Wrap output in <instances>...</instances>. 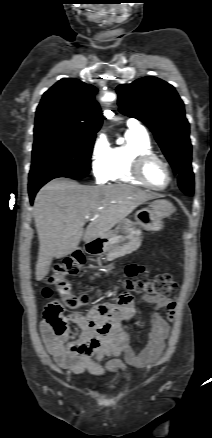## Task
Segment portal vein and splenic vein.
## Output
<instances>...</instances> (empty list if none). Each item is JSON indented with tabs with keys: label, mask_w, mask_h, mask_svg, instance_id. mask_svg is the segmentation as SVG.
<instances>
[{
	"label": "portal vein and splenic vein",
	"mask_w": 212,
	"mask_h": 438,
	"mask_svg": "<svg viewBox=\"0 0 212 438\" xmlns=\"http://www.w3.org/2000/svg\"><path fill=\"white\" fill-rule=\"evenodd\" d=\"M97 216L95 215V216H86L85 218L87 219V220H94L95 218H96Z\"/></svg>",
	"instance_id": "portal-vein-and-splenic-vein-1"
}]
</instances>
